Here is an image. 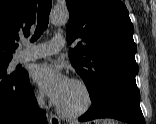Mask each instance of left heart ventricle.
<instances>
[{
	"label": "left heart ventricle",
	"mask_w": 156,
	"mask_h": 124,
	"mask_svg": "<svg viewBox=\"0 0 156 124\" xmlns=\"http://www.w3.org/2000/svg\"><path fill=\"white\" fill-rule=\"evenodd\" d=\"M85 96L83 91L71 82L61 102L58 104L66 111H76L84 105Z\"/></svg>",
	"instance_id": "obj_1"
}]
</instances>
